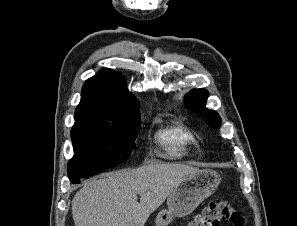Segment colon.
Segmentation results:
<instances>
[{"instance_id": "obj_1", "label": "colon", "mask_w": 297, "mask_h": 226, "mask_svg": "<svg viewBox=\"0 0 297 226\" xmlns=\"http://www.w3.org/2000/svg\"><path fill=\"white\" fill-rule=\"evenodd\" d=\"M221 223L243 226L244 218L231 204L216 199L209 202L188 226H220Z\"/></svg>"}]
</instances>
